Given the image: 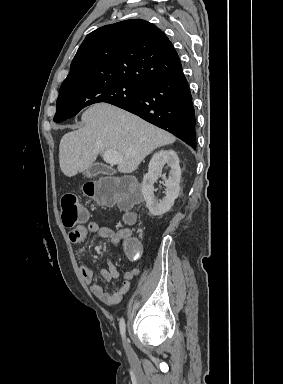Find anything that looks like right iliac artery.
<instances>
[{
    "label": "right iliac artery",
    "instance_id": "right-iliac-artery-1",
    "mask_svg": "<svg viewBox=\"0 0 283 384\" xmlns=\"http://www.w3.org/2000/svg\"><path fill=\"white\" fill-rule=\"evenodd\" d=\"M119 327L122 337L125 338V321L123 318L120 320Z\"/></svg>",
    "mask_w": 283,
    "mask_h": 384
}]
</instances>
